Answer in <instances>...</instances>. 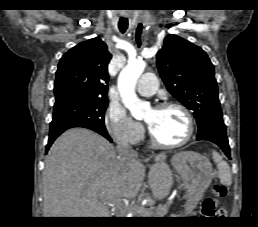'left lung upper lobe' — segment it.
I'll return each instance as SVG.
<instances>
[{
	"mask_svg": "<svg viewBox=\"0 0 258 227\" xmlns=\"http://www.w3.org/2000/svg\"><path fill=\"white\" fill-rule=\"evenodd\" d=\"M164 44L157 54L160 76L168 91L193 111L197 138L215 132L226 134L214 67L207 54L176 35H168Z\"/></svg>",
	"mask_w": 258,
	"mask_h": 227,
	"instance_id": "5c2ea615",
	"label": "left lung upper lobe"
}]
</instances>
